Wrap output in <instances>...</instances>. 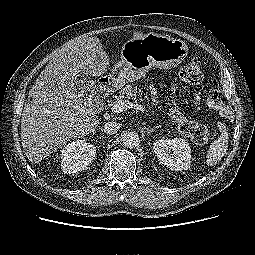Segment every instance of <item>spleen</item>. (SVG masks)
<instances>
[{
    "label": "spleen",
    "instance_id": "spleen-1",
    "mask_svg": "<svg viewBox=\"0 0 255 255\" xmlns=\"http://www.w3.org/2000/svg\"><path fill=\"white\" fill-rule=\"evenodd\" d=\"M221 135L214 140L207 152L206 155V164L208 166H213L225 155L228 148V132L224 124L219 125Z\"/></svg>",
    "mask_w": 255,
    "mask_h": 255
}]
</instances>
